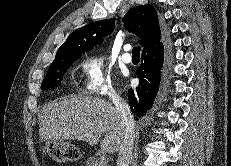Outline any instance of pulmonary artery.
I'll return each mask as SVG.
<instances>
[{"instance_id": "pulmonary-artery-1", "label": "pulmonary artery", "mask_w": 231, "mask_h": 166, "mask_svg": "<svg viewBox=\"0 0 231 166\" xmlns=\"http://www.w3.org/2000/svg\"><path fill=\"white\" fill-rule=\"evenodd\" d=\"M130 49H131L130 45H125L124 47L125 52L121 56L122 61L126 64H129L132 61V57L129 53Z\"/></svg>"}]
</instances>
